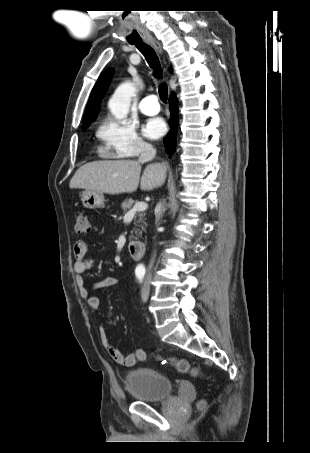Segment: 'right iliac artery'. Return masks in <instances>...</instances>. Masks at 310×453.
<instances>
[{
  "mask_svg": "<svg viewBox=\"0 0 310 453\" xmlns=\"http://www.w3.org/2000/svg\"><path fill=\"white\" fill-rule=\"evenodd\" d=\"M145 273L144 272H136V277L142 281L144 278Z\"/></svg>",
  "mask_w": 310,
  "mask_h": 453,
  "instance_id": "1",
  "label": "right iliac artery"
}]
</instances>
